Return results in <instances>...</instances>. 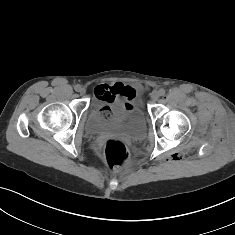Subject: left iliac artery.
<instances>
[{"instance_id":"obj_1","label":"left iliac artery","mask_w":235,"mask_h":235,"mask_svg":"<svg viewBox=\"0 0 235 235\" xmlns=\"http://www.w3.org/2000/svg\"><path fill=\"white\" fill-rule=\"evenodd\" d=\"M158 92H159L160 96H164L165 95V90L163 88H161Z\"/></svg>"}]
</instances>
